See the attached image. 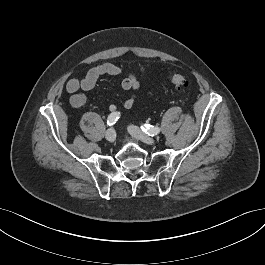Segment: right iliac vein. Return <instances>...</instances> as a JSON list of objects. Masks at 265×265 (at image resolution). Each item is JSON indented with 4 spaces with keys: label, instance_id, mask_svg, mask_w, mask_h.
I'll use <instances>...</instances> for the list:
<instances>
[{
    "label": "right iliac vein",
    "instance_id": "63e3f726",
    "mask_svg": "<svg viewBox=\"0 0 265 265\" xmlns=\"http://www.w3.org/2000/svg\"><path fill=\"white\" fill-rule=\"evenodd\" d=\"M105 138L107 141L109 142H114L115 138H116V132L114 130V128H109L106 133H105Z\"/></svg>",
    "mask_w": 265,
    "mask_h": 265
}]
</instances>
